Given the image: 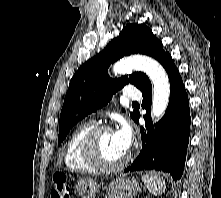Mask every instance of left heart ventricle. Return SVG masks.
<instances>
[{
	"mask_svg": "<svg viewBox=\"0 0 221 198\" xmlns=\"http://www.w3.org/2000/svg\"><path fill=\"white\" fill-rule=\"evenodd\" d=\"M99 151L107 163H116L124 158L127 152L117 144L113 131L104 132L99 138Z\"/></svg>",
	"mask_w": 221,
	"mask_h": 198,
	"instance_id": "b2bd125f",
	"label": "left heart ventricle"
}]
</instances>
